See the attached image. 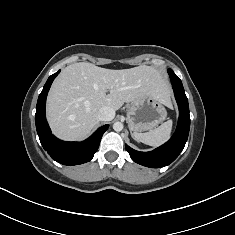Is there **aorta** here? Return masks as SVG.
Returning a JSON list of instances; mask_svg holds the SVG:
<instances>
[{
	"label": "aorta",
	"mask_w": 235,
	"mask_h": 235,
	"mask_svg": "<svg viewBox=\"0 0 235 235\" xmlns=\"http://www.w3.org/2000/svg\"><path fill=\"white\" fill-rule=\"evenodd\" d=\"M113 129H114L115 131H117V132L122 131V129H123V123H121V122H115V123L113 124Z\"/></svg>",
	"instance_id": "obj_1"
}]
</instances>
